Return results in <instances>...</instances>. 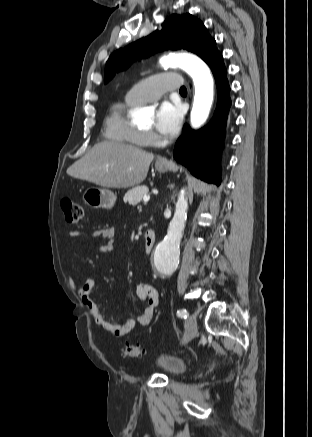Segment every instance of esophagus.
Masks as SVG:
<instances>
[{
    "instance_id": "1",
    "label": "esophagus",
    "mask_w": 312,
    "mask_h": 437,
    "mask_svg": "<svg viewBox=\"0 0 312 437\" xmlns=\"http://www.w3.org/2000/svg\"><path fill=\"white\" fill-rule=\"evenodd\" d=\"M157 162H158V163H161V164H167V163L170 162V159L167 158V157H162V158H159V159L157 160Z\"/></svg>"
}]
</instances>
